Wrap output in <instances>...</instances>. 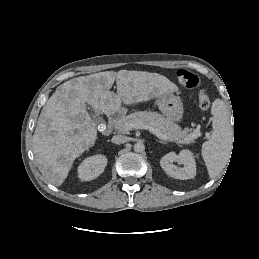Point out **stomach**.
Wrapping results in <instances>:
<instances>
[{"label": "stomach", "instance_id": "stomach-1", "mask_svg": "<svg viewBox=\"0 0 259 259\" xmlns=\"http://www.w3.org/2000/svg\"><path fill=\"white\" fill-rule=\"evenodd\" d=\"M157 106L161 113L174 122H180L183 116V104L179 97L168 93L157 98ZM126 112L124 108L119 109Z\"/></svg>", "mask_w": 259, "mask_h": 259}]
</instances>
